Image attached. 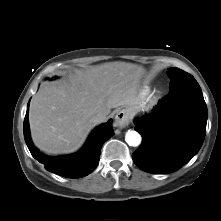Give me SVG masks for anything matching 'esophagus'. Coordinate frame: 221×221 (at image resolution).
Returning a JSON list of instances; mask_svg holds the SVG:
<instances>
[{
	"label": "esophagus",
	"instance_id": "1",
	"mask_svg": "<svg viewBox=\"0 0 221 221\" xmlns=\"http://www.w3.org/2000/svg\"><path fill=\"white\" fill-rule=\"evenodd\" d=\"M130 122V116L125 110L119 111L115 116V126L122 129Z\"/></svg>",
	"mask_w": 221,
	"mask_h": 221
}]
</instances>
